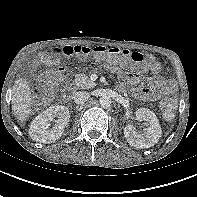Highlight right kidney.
Instances as JSON below:
<instances>
[{
	"mask_svg": "<svg viewBox=\"0 0 197 197\" xmlns=\"http://www.w3.org/2000/svg\"><path fill=\"white\" fill-rule=\"evenodd\" d=\"M57 117L55 125L49 128L50 122ZM69 109L63 105L51 106L40 113L31 122L29 134L36 142L50 144L59 139L69 121Z\"/></svg>",
	"mask_w": 197,
	"mask_h": 197,
	"instance_id": "obj_1",
	"label": "right kidney"
}]
</instances>
